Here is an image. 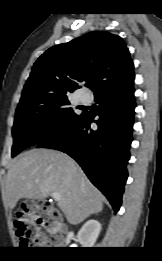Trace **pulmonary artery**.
Masks as SVG:
<instances>
[{
    "instance_id": "obj_1",
    "label": "pulmonary artery",
    "mask_w": 162,
    "mask_h": 261,
    "mask_svg": "<svg viewBox=\"0 0 162 261\" xmlns=\"http://www.w3.org/2000/svg\"><path fill=\"white\" fill-rule=\"evenodd\" d=\"M83 103L88 104L91 102V95L89 93H84L81 97Z\"/></svg>"
}]
</instances>
